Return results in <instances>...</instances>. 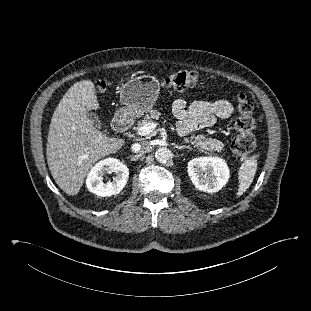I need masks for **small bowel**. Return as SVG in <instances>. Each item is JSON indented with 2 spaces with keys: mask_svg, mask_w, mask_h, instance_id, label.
<instances>
[{
  "mask_svg": "<svg viewBox=\"0 0 311 311\" xmlns=\"http://www.w3.org/2000/svg\"><path fill=\"white\" fill-rule=\"evenodd\" d=\"M172 109L173 114L179 120L177 130L181 135L211 127L217 118H228L234 112L233 105L225 99L214 102L196 100L190 105H187L183 99H177Z\"/></svg>",
  "mask_w": 311,
  "mask_h": 311,
  "instance_id": "c3829d8e",
  "label": "small bowel"
}]
</instances>
